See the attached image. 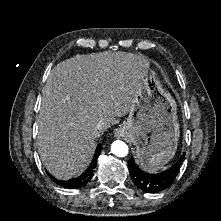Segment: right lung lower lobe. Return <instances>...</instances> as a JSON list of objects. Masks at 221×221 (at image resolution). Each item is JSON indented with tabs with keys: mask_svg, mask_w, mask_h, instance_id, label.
Instances as JSON below:
<instances>
[{
	"mask_svg": "<svg viewBox=\"0 0 221 221\" xmlns=\"http://www.w3.org/2000/svg\"><path fill=\"white\" fill-rule=\"evenodd\" d=\"M102 149L101 145H98L94 154V158L88 167V169L79 177L73 178L67 181H61L57 180L56 178H53L50 174H48L54 182H56L58 185L63 186L68 189H77L84 187L92 178L93 173L95 171L96 163H97V157L100 153V150Z\"/></svg>",
	"mask_w": 221,
	"mask_h": 221,
	"instance_id": "obj_1",
	"label": "right lung lower lobe"
}]
</instances>
